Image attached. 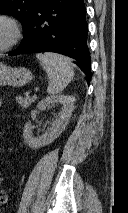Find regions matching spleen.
<instances>
[{"mask_svg": "<svg viewBox=\"0 0 128 213\" xmlns=\"http://www.w3.org/2000/svg\"><path fill=\"white\" fill-rule=\"evenodd\" d=\"M36 57L50 80L47 88L48 94L54 96L61 93L74 76L70 59L55 53H37Z\"/></svg>", "mask_w": 128, "mask_h": 213, "instance_id": "spleen-1", "label": "spleen"}]
</instances>
